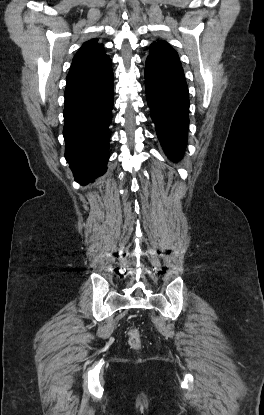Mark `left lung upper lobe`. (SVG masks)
<instances>
[{"instance_id": "1", "label": "left lung upper lobe", "mask_w": 264, "mask_h": 415, "mask_svg": "<svg viewBox=\"0 0 264 415\" xmlns=\"http://www.w3.org/2000/svg\"><path fill=\"white\" fill-rule=\"evenodd\" d=\"M150 48L149 56L180 63L177 52L165 41L154 42Z\"/></svg>"}]
</instances>
